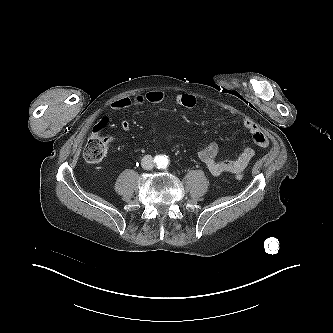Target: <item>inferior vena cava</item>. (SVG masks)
<instances>
[{
    "label": "inferior vena cava",
    "instance_id": "inferior-vena-cava-1",
    "mask_svg": "<svg viewBox=\"0 0 333 333\" xmlns=\"http://www.w3.org/2000/svg\"><path fill=\"white\" fill-rule=\"evenodd\" d=\"M141 165L146 170L152 169L154 167L153 157L151 155H145L141 160Z\"/></svg>",
    "mask_w": 333,
    "mask_h": 333
}]
</instances>
